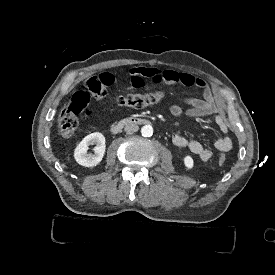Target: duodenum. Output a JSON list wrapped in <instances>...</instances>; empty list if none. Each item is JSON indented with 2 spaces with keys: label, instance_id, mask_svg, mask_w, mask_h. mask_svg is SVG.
Here are the masks:
<instances>
[{
  "label": "duodenum",
  "instance_id": "duodenum-1",
  "mask_svg": "<svg viewBox=\"0 0 275 275\" xmlns=\"http://www.w3.org/2000/svg\"><path fill=\"white\" fill-rule=\"evenodd\" d=\"M150 123L151 121L146 117H142V116L127 117L113 124L110 130L112 133H116L125 126H131V125L143 126V125H148Z\"/></svg>",
  "mask_w": 275,
  "mask_h": 275
}]
</instances>
